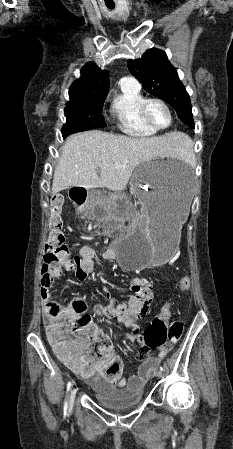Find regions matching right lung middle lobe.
Returning a JSON list of instances; mask_svg holds the SVG:
<instances>
[{"instance_id": "1", "label": "right lung middle lobe", "mask_w": 233, "mask_h": 449, "mask_svg": "<svg viewBox=\"0 0 233 449\" xmlns=\"http://www.w3.org/2000/svg\"><path fill=\"white\" fill-rule=\"evenodd\" d=\"M106 96L107 94H100L70 98L64 109L67 121L62 128L63 137L75 132L105 127L102 108Z\"/></svg>"}]
</instances>
